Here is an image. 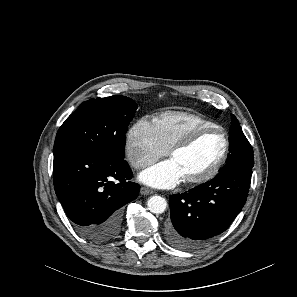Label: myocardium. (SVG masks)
I'll use <instances>...</instances> for the list:
<instances>
[{
	"instance_id": "myocardium-1",
	"label": "myocardium",
	"mask_w": 297,
	"mask_h": 297,
	"mask_svg": "<svg viewBox=\"0 0 297 297\" xmlns=\"http://www.w3.org/2000/svg\"><path fill=\"white\" fill-rule=\"evenodd\" d=\"M207 133H217L221 136L224 148L222 154L218 161L209 168L206 172L192 178H184V182L187 185H198L204 182L209 181L212 179L224 166L227 161L230 152V142L227 134L218 126H207V127H200L190 131L187 135L177 141L170 149H169V156L172 157L179 151H182L189 146H191L200 136L207 134Z\"/></svg>"
}]
</instances>
